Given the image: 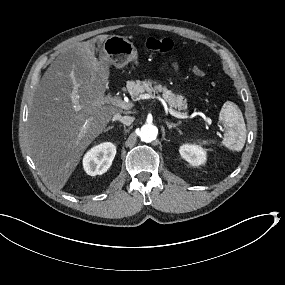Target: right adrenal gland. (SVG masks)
I'll list each match as a JSON object with an SVG mask.
<instances>
[{
    "mask_svg": "<svg viewBox=\"0 0 285 285\" xmlns=\"http://www.w3.org/2000/svg\"><path fill=\"white\" fill-rule=\"evenodd\" d=\"M111 129H114V126L108 127L107 129L104 130V132L107 133V132L110 131Z\"/></svg>",
    "mask_w": 285,
    "mask_h": 285,
    "instance_id": "right-adrenal-gland-1",
    "label": "right adrenal gland"
}]
</instances>
